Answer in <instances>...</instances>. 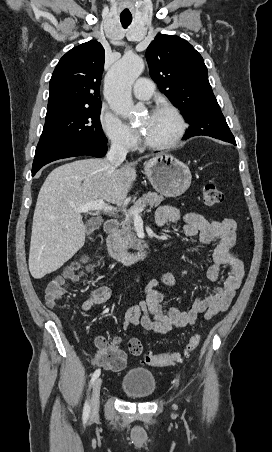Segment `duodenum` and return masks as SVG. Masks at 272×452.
I'll return each instance as SVG.
<instances>
[{"label": "duodenum", "instance_id": "410a0bca", "mask_svg": "<svg viewBox=\"0 0 272 452\" xmlns=\"http://www.w3.org/2000/svg\"><path fill=\"white\" fill-rule=\"evenodd\" d=\"M105 231L107 233V245L108 252L111 257L124 263L132 264L140 259H146L149 257V249L147 247H140L135 251H128L124 249L118 242L117 231L118 221L115 219H109L105 222Z\"/></svg>", "mask_w": 272, "mask_h": 452}]
</instances>
